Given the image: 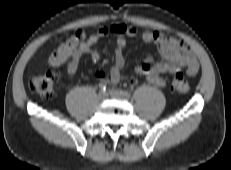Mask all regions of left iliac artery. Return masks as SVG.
Returning <instances> with one entry per match:
<instances>
[{"instance_id": "44dca946", "label": "left iliac artery", "mask_w": 231, "mask_h": 170, "mask_svg": "<svg viewBox=\"0 0 231 170\" xmlns=\"http://www.w3.org/2000/svg\"><path fill=\"white\" fill-rule=\"evenodd\" d=\"M121 94L126 98L130 97V93L126 90H121Z\"/></svg>"}]
</instances>
